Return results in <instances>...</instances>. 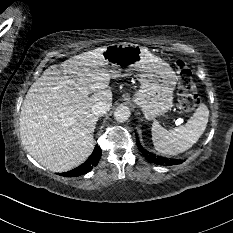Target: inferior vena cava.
<instances>
[{
    "mask_svg": "<svg viewBox=\"0 0 233 233\" xmlns=\"http://www.w3.org/2000/svg\"><path fill=\"white\" fill-rule=\"evenodd\" d=\"M110 110V105L104 102H98L92 106V113L96 116H103Z\"/></svg>",
    "mask_w": 233,
    "mask_h": 233,
    "instance_id": "inferior-vena-cava-1",
    "label": "inferior vena cava"
}]
</instances>
